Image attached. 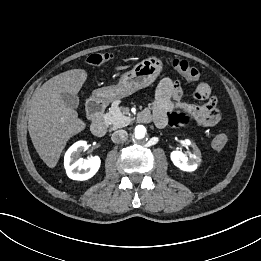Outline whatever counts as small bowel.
I'll return each mask as SVG.
<instances>
[{"mask_svg":"<svg viewBox=\"0 0 261 261\" xmlns=\"http://www.w3.org/2000/svg\"><path fill=\"white\" fill-rule=\"evenodd\" d=\"M194 96L201 103L183 102L181 83L168 77L162 79L156 89L155 101L144 111L148 114L145 122L153 121L160 128L168 124L180 125L189 120L203 127L215 126L221 116L216 98L211 96L210 86L204 81L197 82Z\"/></svg>","mask_w":261,"mask_h":261,"instance_id":"small-bowel-1","label":"small bowel"}]
</instances>
